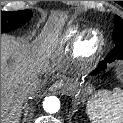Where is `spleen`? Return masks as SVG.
Returning <instances> with one entry per match:
<instances>
[{
  "label": "spleen",
  "instance_id": "3e777b00",
  "mask_svg": "<svg viewBox=\"0 0 123 123\" xmlns=\"http://www.w3.org/2000/svg\"><path fill=\"white\" fill-rule=\"evenodd\" d=\"M92 123H123V90L97 92L87 103Z\"/></svg>",
  "mask_w": 123,
  "mask_h": 123
}]
</instances>
